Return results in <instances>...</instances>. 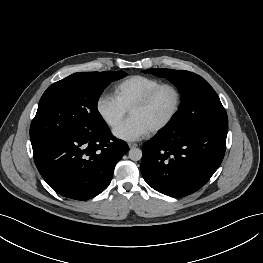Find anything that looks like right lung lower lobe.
Segmentation results:
<instances>
[{
    "label": "right lung lower lobe",
    "instance_id": "right-lung-lower-lobe-1",
    "mask_svg": "<svg viewBox=\"0 0 263 263\" xmlns=\"http://www.w3.org/2000/svg\"><path fill=\"white\" fill-rule=\"evenodd\" d=\"M128 150L105 125L51 139L34 147L33 155L38 171L52 189L70 199L87 200L108 187L116 163Z\"/></svg>",
    "mask_w": 263,
    "mask_h": 263
}]
</instances>
